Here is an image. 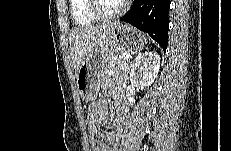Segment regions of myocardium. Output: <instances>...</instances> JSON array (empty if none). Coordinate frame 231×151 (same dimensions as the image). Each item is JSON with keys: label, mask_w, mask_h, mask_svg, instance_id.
I'll return each instance as SVG.
<instances>
[{"label": "myocardium", "mask_w": 231, "mask_h": 151, "mask_svg": "<svg viewBox=\"0 0 231 151\" xmlns=\"http://www.w3.org/2000/svg\"><path fill=\"white\" fill-rule=\"evenodd\" d=\"M89 11L99 21H113L123 16L128 7V2H123L120 9L112 14H105L100 9V0H89Z\"/></svg>", "instance_id": "obj_1"}]
</instances>
